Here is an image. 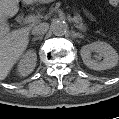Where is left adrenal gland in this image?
Segmentation results:
<instances>
[{"mask_svg": "<svg viewBox=\"0 0 119 119\" xmlns=\"http://www.w3.org/2000/svg\"><path fill=\"white\" fill-rule=\"evenodd\" d=\"M73 37L74 38H83L84 36L81 35L80 33L73 32Z\"/></svg>", "mask_w": 119, "mask_h": 119, "instance_id": "a2214340", "label": "left adrenal gland"}]
</instances>
